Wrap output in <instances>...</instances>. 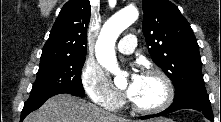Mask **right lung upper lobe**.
I'll list each match as a JSON object with an SVG mask.
<instances>
[{"mask_svg":"<svg viewBox=\"0 0 221 122\" xmlns=\"http://www.w3.org/2000/svg\"><path fill=\"white\" fill-rule=\"evenodd\" d=\"M89 20V0H69L52 27L49 39L43 47L41 60L85 58Z\"/></svg>","mask_w":221,"mask_h":122,"instance_id":"1","label":"right lung upper lobe"}]
</instances>
